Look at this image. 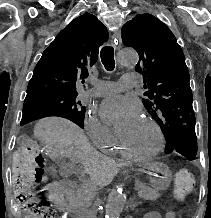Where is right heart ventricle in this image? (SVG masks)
Masks as SVG:
<instances>
[{
	"label": "right heart ventricle",
	"mask_w": 211,
	"mask_h": 218,
	"mask_svg": "<svg viewBox=\"0 0 211 218\" xmlns=\"http://www.w3.org/2000/svg\"><path fill=\"white\" fill-rule=\"evenodd\" d=\"M118 143L117 141L114 139V141L112 143H110L107 146H104L102 148L103 152L108 153V154H119L120 151L118 150Z\"/></svg>",
	"instance_id": "right-heart-ventricle-1"
}]
</instances>
